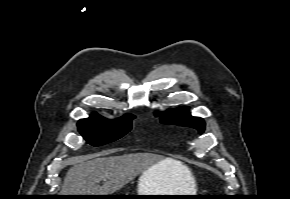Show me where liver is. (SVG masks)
Segmentation results:
<instances>
[{
    "instance_id": "liver-1",
    "label": "liver",
    "mask_w": 290,
    "mask_h": 199,
    "mask_svg": "<svg viewBox=\"0 0 290 199\" xmlns=\"http://www.w3.org/2000/svg\"><path fill=\"white\" fill-rule=\"evenodd\" d=\"M155 165L159 175L169 177L172 193L194 191L191 171L180 161L149 153H133L96 157L71 167L65 176L61 195H111ZM100 181H104L102 186L98 185Z\"/></svg>"
}]
</instances>
